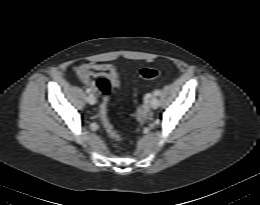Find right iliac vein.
Masks as SVG:
<instances>
[{
	"label": "right iliac vein",
	"instance_id": "obj_1",
	"mask_svg": "<svg viewBox=\"0 0 260 205\" xmlns=\"http://www.w3.org/2000/svg\"><path fill=\"white\" fill-rule=\"evenodd\" d=\"M86 101L90 104V105H94L96 103V98L93 94H89L86 98Z\"/></svg>",
	"mask_w": 260,
	"mask_h": 205
}]
</instances>
